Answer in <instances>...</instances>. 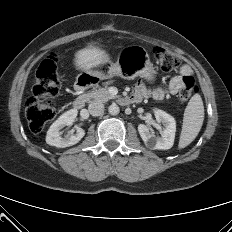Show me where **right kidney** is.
<instances>
[{
	"instance_id": "ca27d5eb",
	"label": "right kidney",
	"mask_w": 232,
	"mask_h": 232,
	"mask_svg": "<svg viewBox=\"0 0 232 232\" xmlns=\"http://www.w3.org/2000/svg\"><path fill=\"white\" fill-rule=\"evenodd\" d=\"M77 110L71 109L63 113L49 128L46 135V143L58 148H65L77 144L85 135L82 128H77L76 133L61 137V129L73 124Z\"/></svg>"
}]
</instances>
